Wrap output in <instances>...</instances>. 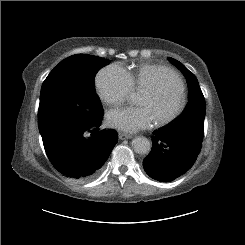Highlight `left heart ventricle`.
I'll list each match as a JSON object with an SVG mask.
<instances>
[{"label":"left heart ventricle","instance_id":"left-heart-ventricle-1","mask_svg":"<svg viewBox=\"0 0 245 245\" xmlns=\"http://www.w3.org/2000/svg\"><path fill=\"white\" fill-rule=\"evenodd\" d=\"M157 83L166 85L165 92L155 97L147 92H142L139 104L147 107L154 119L169 113L177 104L176 86L173 79L168 75H161Z\"/></svg>","mask_w":245,"mask_h":245}]
</instances>
